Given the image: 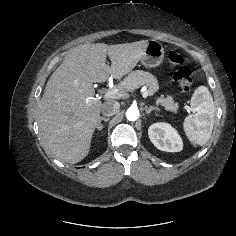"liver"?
Instances as JSON below:
<instances>
[{"label":"liver","mask_w":236,"mask_h":236,"mask_svg":"<svg viewBox=\"0 0 236 236\" xmlns=\"http://www.w3.org/2000/svg\"><path fill=\"white\" fill-rule=\"evenodd\" d=\"M148 42L81 44L53 72L38 104L39 127L45 145L60 160L75 164L89 153L102 107L93 83L109 76L121 79L140 61Z\"/></svg>","instance_id":"1"}]
</instances>
